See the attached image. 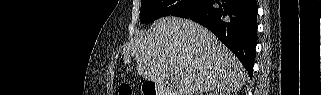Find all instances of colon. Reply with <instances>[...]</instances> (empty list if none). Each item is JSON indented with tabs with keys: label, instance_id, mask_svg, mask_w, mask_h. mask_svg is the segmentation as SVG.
I'll use <instances>...</instances> for the list:
<instances>
[{
	"label": "colon",
	"instance_id": "obj_1",
	"mask_svg": "<svg viewBox=\"0 0 321 95\" xmlns=\"http://www.w3.org/2000/svg\"><path fill=\"white\" fill-rule=\"evenodd\" d=\"M120 95H132V89L129 85L123 84L119 89Z\"/></svg>",
	"mask_w": 321,
	"mask_h": 95
}]
</instances>
